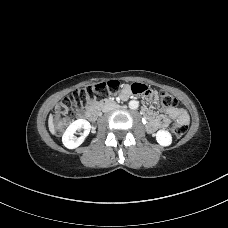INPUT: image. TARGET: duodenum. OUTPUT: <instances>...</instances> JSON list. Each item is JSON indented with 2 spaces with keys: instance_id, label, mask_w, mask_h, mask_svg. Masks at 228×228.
<instances>
[{
  "instance_id": "obj_1",
  "label": "duodenum",
  "mask_w": 228,
  "mask_h": 228,
  "mask_svg": "<svg viewBox=\"0 0 228 228\" xmlns=\"http://www.w3.org/2000/svg\"><path fill=\"white\" fill-rule=\"evenodd\" d=\"M117 106H118V104L114 100L105 99V100L100 101L97 104H94L93 106L89 107L85 111L84 115L86 118H88L90 120H96L100 116V114L104 108L117 107ZM146 126L149 131H154L159 126V120L155 116L151 115L147 118Z\"/></svg>"
}]
</instances>
